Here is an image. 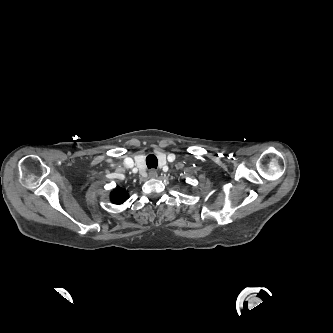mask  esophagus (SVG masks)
<instances>
[{
  "label": "esophagus",
  "mask_w": 333,
  "mask_h": 333,
  "mask_svg": "<svg viewBox=\"0 0 333 333\" xmlns=\"http://www.w3.org/2000/svg\"><path fill=\"white\" fill-rule=\"evenodd\" d=\"M157 175H158L157 170H155V169H151V170L149 171V177H150V178H156Z\"/></svg>",
  "instance_id": "obj_1"
}]
</instances>
